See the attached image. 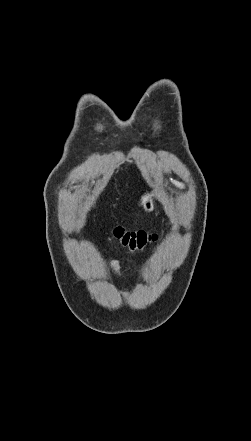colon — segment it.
<instances>
[{
  "label": "colon",
  "mask_w": 251,
  "mask_h": 441,
  "mask_svg": "<svg viewBox=\"0 0 251 441\" xmlns=\"http://www.w3.org/2000/svg\"><path fill=\"white\" fill-rule=\"evenodd\" d=\"M113 234L123 247L132 251L142 250L148 244L158 239V234L155 232L143 230L126 231L121 227L115 228Z\"/></svg>",
  "instance_id": "colon-1"
}]
</instances>
